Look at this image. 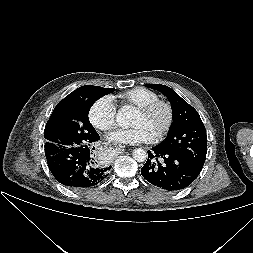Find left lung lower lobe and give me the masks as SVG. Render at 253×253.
I'll return each mask as SVG.
<instances>
[{
  "mask_svg": "<svg viewBox=\"0 0 253 253\" xmlns=\"http://www.w3.org/2000/svg\"><path fill=\"white\" fill-rule=\"evenodd\" d=\"M151 150L148 151V159L141 168V174L149 183L161 189H184L197 178L202 169L159 146Z\"/></svg>",
  "mask_w": 253,
  "mask_h": 253,
  "instance_id": "1",
  "label": "left lung lower lobe"
}]
</instances>
